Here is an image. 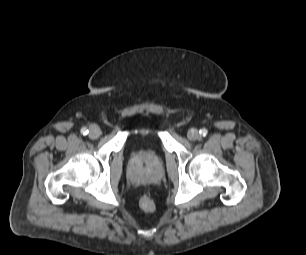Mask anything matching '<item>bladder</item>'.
Segmentation results:
<instances>
[{"label":"bladder","mask_w":306,"mask_h":255,"mask_svg":"<svg viewBox=\"0 0 306 255\" xmlns=\"http://www.w3.org/2000/svg\"><path fill=\"white\" fill-rule=\"evenodd\" d=\"M150 137H151V139H152L157 145L160 144L156 129H153V130L151 131ZM135 141H136V139H135V138H132L131 141H130V144H131V145H134V144H135Z\"/></svg>","instance_id":"1"}]
</instances>
